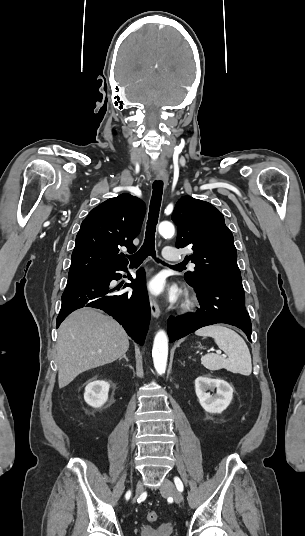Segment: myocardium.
Instances as JSON below:
<instances>
[{
  "mask_svg": "<svg viewBox=\"0 0 305 536\" xmlns=\"http://www.w3.org/2000/svg\"><path fill=\"white\" fill-rule=\"evenodd\" d=\"M196 304V299L193 296H186L184 300V308L189 310L193 308Z\"/></svg>",
  "mask_w": 305,
  "mask_h": 536,
  "instance_id": "obj_1",
  "label": "myocardium"
}]
</instances>
